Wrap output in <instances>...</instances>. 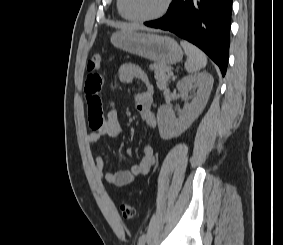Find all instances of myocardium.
<instances>
[{"mask_svg": "<svg viewBox=\"0 0 283 245\" xmlns=\"http://www.w3.org/2000/svg\"><path fill=\"white\" fill-rule=\"evenodd\" d=\"M121 1H122V10H123V13L126 19L135 21V22H142V23L151 22V21L162 18L168 12L173 2V0H165L162 8L154 15H151L148 17H135L128 12L127 0H121Z\"/></svg>", "mask_w": 283, "mask_h": 245, "instance_id": "myocardium-1", "label": "myocardium"}]
</instances>
